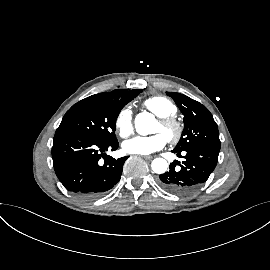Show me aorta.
I'll return each instance as SVG.
<instances>
[{
  "label": "aorta",
  "mask_w": 270,
  "mask_h": 270,
  "mask_svg": "<svg viewBox=\"0 0 270 270\" xmlns=\"http://www.w3.org/2000/svg\"><path fill=\"white\" fill-rule=\"evenodd\" d=\"M155 124V118L150 113H140L135 118V128L140 135H148L152 132V127ZM151 168L154 173H165L168 168V163L163 158H156L151 163Z\"/></svg>",
  "instance_id": "762f6f07"
}]
</instances>
